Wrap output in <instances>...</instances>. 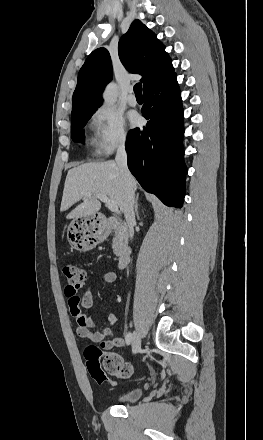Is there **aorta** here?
<instances>
[{
	"instance_id": "1",
	"label": "aorta",
	"mask_w": 263,
	"mask_h": 440,
	"mask_svg": "<svg viewBox=\"0 0 263 440\" xmlns=\"http://www.w3.org/2000/svg\"><path fill=\"white\" fill-rule=\"evenodd\" d=\"M103 100L106 105H113L117 100V85L110 83L103 92Z\"/></svg>"
}]
</instances>
